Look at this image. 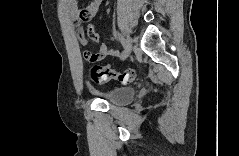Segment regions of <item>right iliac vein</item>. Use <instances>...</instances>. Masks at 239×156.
<instances>
[{"label":"right iliac vein","instance_id":"right-iliac-vein-1","mask_svg":"<svg viewBox=\"0 0 239 156\" xmlns=\"http://www.w3.org/2000/svg\"><path fill=\"white\" fill-rule=\"evenodd\" d=\"M132 45H133V40L132 38L126 34V46L124 48V53L122 56V59L125 60L131 53L132 50Z\"/></svg>","mask_w":239,"mask_h":156}]
</instances>
